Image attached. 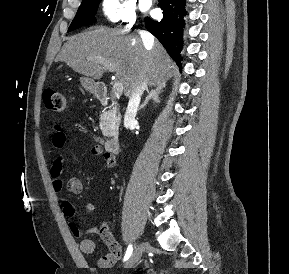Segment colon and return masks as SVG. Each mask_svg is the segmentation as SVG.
<instances>
[{"instance_id":"1","label":"colon","mask_w":289,"mask_h":274,"mask_svg":"<svg viewBox=\"0 0 289 274\" xmlns=\"http://www.w3.org/2000/svg\"><path fill=\"white\" fill-rule=\"evenodd\" d=\"M43 102L47 109L54 112H61L65 110L68 106V99L66 95L51 89H47L44 91ZM100 231L104 233L109 232L107 227L105 226H103Z\"/></svg>"}]
</instances>
